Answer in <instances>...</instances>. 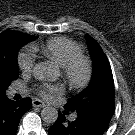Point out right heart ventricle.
Returning a JSON list of instances; mask_svg holds the SVG:
<instances>
[{
  "instance_id": "obj_1",
  "label": "right heart ventricle",
  "mask_w": 135,
  "mask_h": 135,
  "mask_svg": "<svg viewBox=\"0 0 135 135\" xmlns=\"http://www.w3.org/2000/svg\"><path fill=\"white\" fill-rule=\"evenodd\" d=\"M34 52H41L46 58L59 67L66 65L74 57L83 53L82 47L67 37H55L47 40L42 46L32 44Z\"/></svg>"
}]
</instances>
